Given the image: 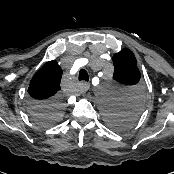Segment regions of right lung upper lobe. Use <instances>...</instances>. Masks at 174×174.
Masks as SVG:
<instances>
[{
	"label": "right lung upper lobe",
	"instance_id": "obj_1",
	"mask_svg": "<svg viewBox=\"0 0 174 174\" xmlns=\"http://www.w3.org/2000/svg\"><path fill=\"white\" fill-rule=\"evenodd\" d=\"M62 70L55 60L47 62L30 81L29 95L33 101L45 102L59 97Z\"/></svg>",
	"mask_w": 174,
	"mask_h": 174
}]
</instances>
